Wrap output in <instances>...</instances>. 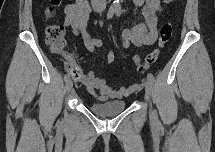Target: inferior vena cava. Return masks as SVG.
<instances>
[{"instance_id":"inferior-vena-cava-1","label":"inferior vena cava","mask_w":215,"mask_h":152,"mask_svg":"<svg viewBox=\"0 0 215 152\" xmlns=\"http://www.w3.org/2000/svg\"><path fill=\"white\" fill-rule=\"evenodd\" d=\"M94 2H97V3L100 4L103 8H105V5H106V1H105V0H94Z\"/></svg>"}]
</instances>
